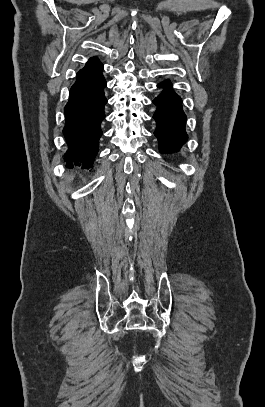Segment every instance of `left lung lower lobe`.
Instances as JSON below:
<instances>
[{"label": "left lung lower lobe", "instance_id": "0a47b994", "mask_svg": "<svg viewBox=\"0 0 265 407\" xmlns=\"http://www.w3.org/2000/svg\"><path fill=\"white\" fill-rule=\"evenodd\" d=\"M163 91L153 100L156 111L153 118L156 121L155 136L159 141L161 153H173L186 142V115L182 109V99L175 93L169 79L159 83Z\"/></svg>", "mask_w": 265, "mask_h": 407}]
</instances>
